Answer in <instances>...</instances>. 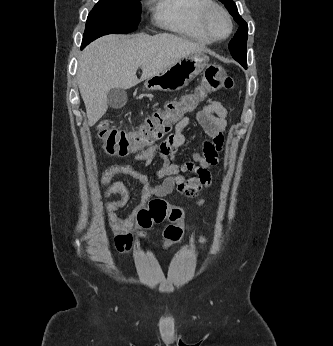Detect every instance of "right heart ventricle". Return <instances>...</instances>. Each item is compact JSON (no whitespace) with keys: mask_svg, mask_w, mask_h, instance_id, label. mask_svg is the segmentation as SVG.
<instances>
[{"mask_svg":"<svg viewBox=\"0 0 333 346\" xmlns=\"http://www.w3.org/2000/svg\"><path fill=\"white\" fill-rule=\"evenodd\" d=\"M157 24L196 43L212 42L202 25L203 11L212 0H151Z\"/></svg>","mask_w":333,"mask_h":346,"instance_id":"obj_1","label":"right heart ventricle"}]
</instances>
